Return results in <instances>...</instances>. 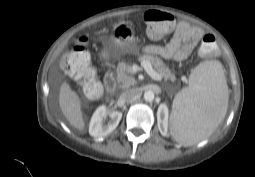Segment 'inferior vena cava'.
<instances>
[{
  "mask_svg": "<svg viewBox=\"0 0 255 177\" xmlns=\"http://www.w3.org/2000/svg\"><path fill=\"white\" fill-rule=\"evenodd\" d=\"M140 95V91L138 89H129L122 93L121 98L126 102H131L138 98Z\"/></svg>",
  "mask_w": 255,
  "mask_h": 177,
  "instance_id": "obj_1",
  "label": "inferior vena cava"
}]
</instances>
